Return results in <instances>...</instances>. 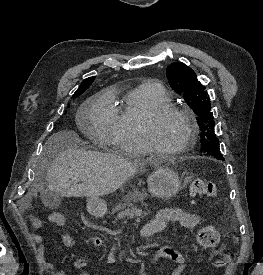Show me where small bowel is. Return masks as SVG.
Wrapping results in <instances>:
<instances>
[{"mask_svg": "<svg viewBox=\"0 0 263 275\" xmlns=\"http://www.w3.org/2000/svg\"><path fill=\"white\" fill-rule=\"evenodd\" d=\"M171 222L178 223L184 229L194 230L199 226L201 219L199 215L187 212L180 208L161 209L153 216L151 220H149L142 226L141 236L146 238L158 232H161L165 230L168 224ZM63 223L64 219L62 220V222L55 224L63 225ZM32 224L35 228L43 227V222L37 219H34L32 221ZM33 238L35 243L37 244V260L44 267V269L50 275H66L63 271L58 270L54 264L45 260V246L42 236L39 234H35ZM61 240L62 243L68 248H73L75 246V240L69 234H64ZM88 241L96 248H101L103 246V240L99 236H91L89 237ZM157 257L170 260L176 264L175 268L171 272V275L182 274L185 267V258L180 252L175 251L168 246H163L157 251ZM74 266L78 271V275H91L89 272L85 271V268L88 266V263L86 261L77 260L75 261Z\"/></svg>", "mask_w": 263, "mask_h": 275, "instance_id": "c3829d8e", "label": "small bowel"}]
</instances>
